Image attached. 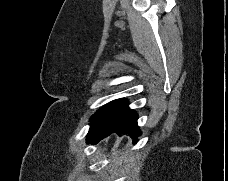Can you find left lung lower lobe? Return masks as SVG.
Wrapping results in <instances>:
<instances>
[{"mask_svg": "<svg viewBox=\"0 0 228 181\" xmlns=\"http://www.w3.org/2000/svg\"><path fill=\"white\" fill-rule=\"evenodd\" d=\"M137 118L136 112L128 108L127 113L118 124L108 128L89 130V133L86 136L87 143L96 144L112 133H117L119 136L123 133H127L133 138L134 142H137L138 139L136 138L141 135L137 125Z\"/></svg>", "mask_w": 228, "mask_h": 181, "instance_id": "obj_1", "label": "left lung lower lobe"}]
</instances>
